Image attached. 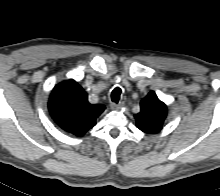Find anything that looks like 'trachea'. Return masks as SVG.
I'll return each instance as SVG.
<instances>
[{
    "mask_svg": "<svg viewBox=\"0 0 220 196\" xmlns=\"http://www.w3.org/2000/svg\"><path fill=\"white\" fill-rule=\"evenodd\" d=\"M121 92H122L121 88L116 87L111 93V101L114 103H118L120 100Z\"/></svg>",
    "mask_w": 220,
    "mask_h": 196,
    "instance_id": "obj_1",
    "label": "trachea"
}]
</instances>
